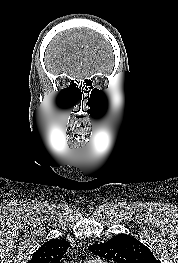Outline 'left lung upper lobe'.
<instances>
[{
	"label": "left lung upper lobe",
	"instance_id": "5c2ea615",
	"mask_svg": "<svg viewBox=\"0 0 178 263\" xmlns=\"http://www.w3.org/2000/svg\"><path fill=\"white\" fill-rule=\"evenodd\" d=\"M89 250L116 263H161L145 245L127 234H118L102 244H93Z\"/></svg>",
	"mask_w": 178,
	"mask_h": 263
}]
</instances>
